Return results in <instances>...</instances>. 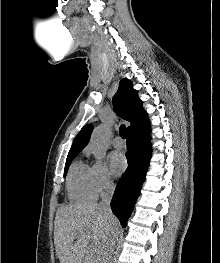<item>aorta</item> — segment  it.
<instances>
[{
	"label": "aorta",
	"mask_w": 220,
	"mask_h": 263,
	"mask_svg": "<svg viewBox=\"0 0 220 263\" xmlns=\"http://www.w3.org/2000/svg\"><path fill=\"white\" fill-rule=\"evenodd\" d=\"M108 128L105 125L99 126L92 135L91 144L93 153L97 160L105 157L107 151Z\"/></svg>",
	"instance_id": "762f6f07"
}]
</instances>
